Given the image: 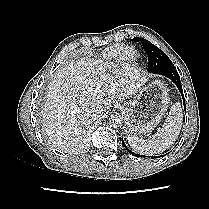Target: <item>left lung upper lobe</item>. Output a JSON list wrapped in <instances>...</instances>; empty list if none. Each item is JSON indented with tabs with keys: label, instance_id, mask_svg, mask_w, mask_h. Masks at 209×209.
<instances>
[{
	"label": "left lung upper lobe",
	"instance_id": "left-lung-upper-lobe-1",
	"mask_svg": "<svg viewBox=\"0 0 209 209\" xmlns=\"http://www.w3.org/2000/svg\"><path fill=\"white\" fill-rule=\"evenodd\" d=\"M135 41H141L143 47L148 54V71L150 73L158 74L161 71L174 69L175 66L168 58V56L160 50L157 46L144 38L136 37Z\"/></svg>",
	"mask_w": 209,
	"mask_h": 209
}]
</instances>
